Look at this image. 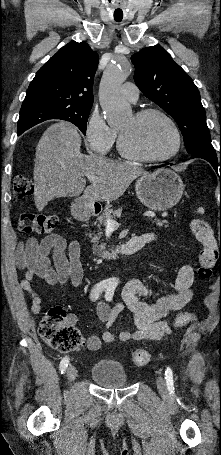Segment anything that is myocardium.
<instances>
[{
	"label": "myocardium",
	"mask_w": 221,
	"mask_h": 455,
	"mask_svg": "<svg viewBox=\"0 0 221 455\" xmlns=\"http://www.w3.org/2000/svg\"><path fill=\"white\" fill-rule=\"evenodd\" d=\"M151 115H157V116L161 117L170 126V128L173 132V135H174V139H175L174 148L172 149L171 152H169L168 154L163 155V156H159V157L143 156V155H140V154H137V153L131 151L126 144L124 135L122 134V132L118 131L117 145H118V150L123 157H125L129 160H132V161H137V162H142V163H161V162H165V161L172 159L179 153V151L181 149V144H182L181 134H180L179 128H178L177 124L175 123V121L166 112H164L158 108H145V109H141V110L137 111L134 114V117L138 120H141V119H144Z\"/></svg>",
	"instance_id": "1"
}]
</instances>
